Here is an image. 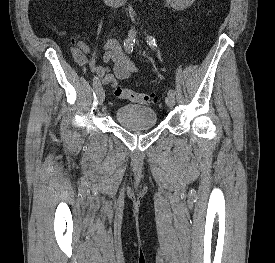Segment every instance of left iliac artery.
<instances>
[{
    "mask_svg": "<svg viewBox=\"0 0 275 263\" xmlns=\"http://www.w3.org/2000/svg\"><path fill=\"white\" fill-rule=\"evenodd\" d=\"M147 42L152 48H154L156 46L155 39L152 38V36L147 37ZM168 95H175V91L173 89H170L168 91Z\"/></svg>",
    "mask_w": 275,
    "mask_h": 263,
    "instance_id": "1",
    "label": "left iliac artery"
}]
</instances>
